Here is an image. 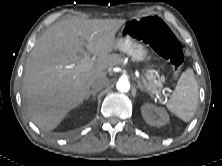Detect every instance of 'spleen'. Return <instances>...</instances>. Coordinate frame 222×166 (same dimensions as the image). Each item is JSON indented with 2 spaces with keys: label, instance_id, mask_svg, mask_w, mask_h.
Instances as JSON below:
<instances>
[{
  "label": "spleen",
  "instance_id": "obj_1",
  "mask_svg": "<svg viewBox=\"0 0 222 166\" xmlns=\"http://www.w3.org/2000/svg\"><path fill=\"white\" fill-rule=\"evenodd\" d=\"M198 104V84L192 69L184 71L170 97L167 108L184 122L192 119Z\"/></svg>",
  "mask_w": 222,
  "mask_h": 166
}]
</instances>
